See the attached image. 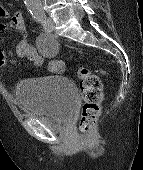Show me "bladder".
I'll return each mask as SVG.
<instances>
[{
  "mask_svg": "<svg viewBox=\"0 0 143 170\" xmlns=\"http://www.w3.org/2000/svg\"><path fill=\"white\" fill-rule=\"evenodd\" d=\"M14 93L28 115L53 123L69 120L77 107L78 94L74 83L60 75H46L22 80Z\"/></svg>",
  "mask_w": 143,
  "mask_h": 170,
  "instance_id": "1",
  "label": "bladder"
}]
</instances>
